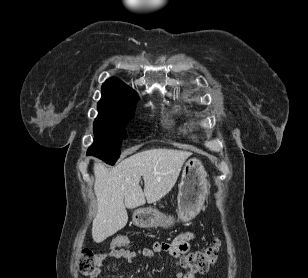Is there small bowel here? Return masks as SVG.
Wrapping results in <instances>:
<instances>
[{
    "label": "small bowel",
    "mask_w": 308,
    "mask_h": 278,
    "mask_svg": "<svg viewBox=\"0 0 308 278\" xmlns=\"http://www.w3.org/2000/svg\"><path fill=\"white\" fill-rule=\"evenodd\" d=\"M195 238V235L190 232H184L175 237L171 242H156L151 248H140L136 250H128L123 247H118L117 250H107L100 254L101 265L106 262V266L109 270L112 267L113 259H123L128 263H133L139 258H153L156 254L165 253L172 257H180L185 255L190 250V242ZM102 270L99 269L98 273L94 276L97 278L101 274ZM175 278H195L192 272L178 271Z\"/></svg>",
    "instance_id": "obj_1"
}]
</instances>
